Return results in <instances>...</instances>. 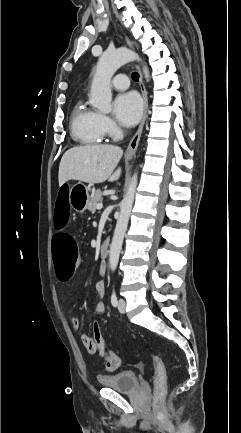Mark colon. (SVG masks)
Masks as SVG:
<instances>
[{
	"label": "colon",
	"instance_id": "obj_1",
	"mask_svg": "<svg viewBox=\"0 0 241 433\" xmlns=\"http://www.w3.org/2000/svg\"><path fill=\"white\" fill-rule=\"evenodd\" d=\"M56 200L54 202V225L59 229L51 237L52 257L55 270L59 281L68 282L73 277L76 270L78 250L76 238L73 237L71 230H62L68 225L71 215V202L69 200V189L67 186H58L56 189ZM93 342H88L89 349H95L105 361L108 370L114 371L120 366L119 357L110 352L105 344L99 323H94ZM151 357L154 378L153 389L156 400L161 398L167 388V372L164 361L156 354L147 350Z\"/></svg>",
	"mask_w": 241,
	"mask_h": 433
}]
</instances>
